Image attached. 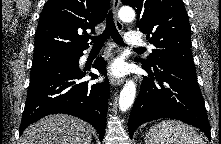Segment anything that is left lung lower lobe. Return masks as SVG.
<instances>
[{
  "mask_svg": "<svg viewBox=\"0 0 221 144\" xmlns=\"http://www.w3.org/2000/svg\"><path fill=\"white\" fill-rule=\"evenodd\" d=\"M129 117V134L143 123L159 118L178 119L201 129L211 140L204 100L195 70L174 64L148 66Z\"/></svg>",
  "mask_w": 221,
  "mask_h": 144,
  "instance_id": "1",
  "label": "left lung lower lobe"
}]
</instances>
